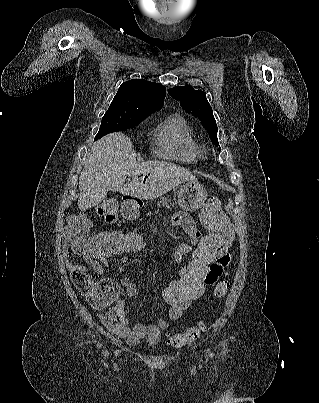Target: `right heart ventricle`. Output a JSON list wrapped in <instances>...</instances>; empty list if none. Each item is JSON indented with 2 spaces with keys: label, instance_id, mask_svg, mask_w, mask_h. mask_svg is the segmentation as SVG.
<instances>
[{
  "label": "right heart ventricle",
  "instance_id": "obj_1",
  "mask_svg": "<svg viewBox=\"0 0 319 403\" xmlns=\"http://www.w3.org/2000/svg\"><path fill=\"white\" fill-rule=\"evenodd\" d=\"M153 150L158 157L185 163L194 162L200 156L192 128L180 114H172L157 125Z\"/></svg>",
  "mask_w": 319,
  "mask_h": 403
}]
</instances>
